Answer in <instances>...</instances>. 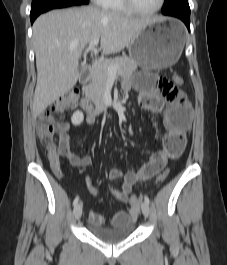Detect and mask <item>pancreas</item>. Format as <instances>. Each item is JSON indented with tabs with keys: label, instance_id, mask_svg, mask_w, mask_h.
Returning <instances> with one entry per match:
<instances>
[{
	"label": "pancreas",
	"instance_id": "1",
	"mask_svg": "<svg viewBox=\"0 0 227 265\" xmlns=\"http://www.w3.org/2000/svg\"><path fill=\"white\" fill-rule=\"evenodd\" d=\"M109 66L117 67L116 74L121 77L131 76L137 70V63L127 56L106 59L95 64L91 72V81L86 87V94L97 106H103Z\"/></svg>",
	"mask_w": 227,
	"mask_h": 265
}]
</instances>
